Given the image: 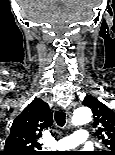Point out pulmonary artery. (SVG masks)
<instances>
[{"instance_id": "1", "label": "pulmonary artery", "mask_w": 115, "mask_h": 155, "mask_svg": "<svg viewBox=\"0 0 115 155\" xmlns=\"http://www.w3.org/2000/svg\"><path fill=\"white\" fill-rule=\"evenodd\" d=\"M88 131L86 129L80 128L76 130L73 134L60 139L57 142V148L59 150H69L73 149L88 141Z\"/></svg>"}]
</instances>
